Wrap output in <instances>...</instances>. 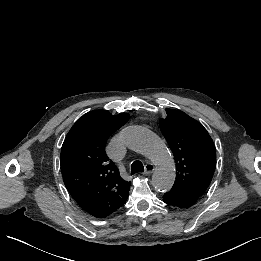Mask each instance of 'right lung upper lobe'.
<instances>
[{
	"label": "right lung upper lobe",
	"mask_w": 261,
	"mask_h": 261,
	"mask_svg": "<svg viewBox=\"0 0 261 261\" xmlns=\"http://www.w3.org/2000/svg\"><path fill=\"white\" fill-rule=\"evenodd\" d=\"M127 113L111 115L105 110L81 116L69 130L61 149V170L65 186L80 207L104 218L128 198L130 183L109 162L105 145L109 136L129 120Z\"/></svg>",
	"instance_id": "cb5924a9"
}]
</instances>
